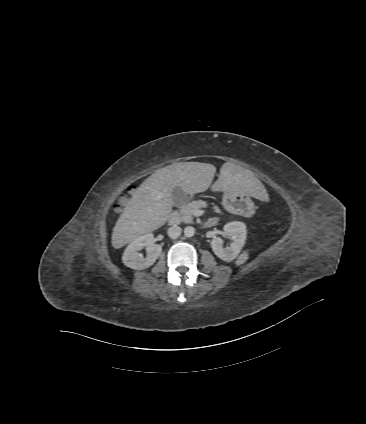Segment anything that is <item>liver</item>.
Instances as JSON below:
<instances>
[{"label": "liver", "mask_w": 366, "mask_h": 424, "mask_svg": "<svg viewBox=\"0 0 366 424\" xmlns=\"http://www.w3.org/2000/svg\"><path fill=\"white\" fill-rule=\"evenodd\" d=\"M215 173V166L200 162H179L156 170L137 188L117 220L112 246L119 249L163 226L172 212L173 190L180 187L185 196L204 192ZM213 190L248 194L259 199L265 192L264 185L253 172L229 162L222 165Z\"/></svg>", "instance_id": "6515ba94"}]
</instances>
